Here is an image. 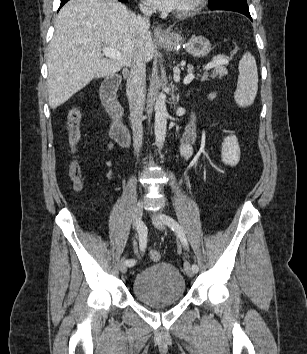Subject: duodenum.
Listing matches in <instances>:
<instances>
[{"mask_svg": "<svg viewBox=\"0 0 307 354\" xmlns=\"http://www.w3.org/2000/svg\"><path fill=\"white\" fill-rule=\"evenodd\" d=\"M121 84L119 75L107 77L101 87V99L110 118V132L123 146L130 143V132L123 122V110L117 99V90Z\"/></svg>", "mask_w": 307, "mask_h": 354, "instance_id": "obj_1", "label": "duodenum"}]
</instances>
